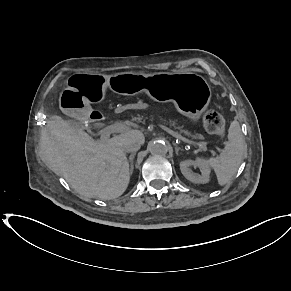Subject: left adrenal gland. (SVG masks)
<instances>
[{
	"label": "left adrenal gland",
	"instance_id": "left-adrenal-gland-1",
	"mask_svg": "<svg viewBox=\"0 0 291 291\" xmlns=\"http://www.w3.org/2000/svg\"><path fill=\"white\" fill-rule=\"evenodd\" d=\"M174 146H175V151H176V154L178 155V152H179V150H181V148H180V147H178V146H177V144H175V143H174Z\"/></svg>",
	"mask_w": 291,
	"mask_h": 291
}]
</instances>
